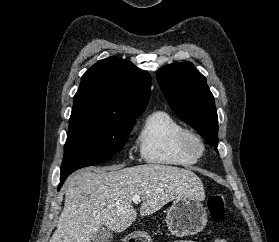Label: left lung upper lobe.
<instances>
[{
	"instance_id": "obj_1",
	"label": "left lung upper lobe",
	"mask_w": 279,
	"mask_h": 242,
	"mask_svg": "<svg viewBox=\"0 0 279 242\" xmlns=\"http://www.w3.org/2000/svg\"><path fill=\"white\" fill-rule=\"evenodd\" d=\"M157 81L174 113L217 147V112L206 78L191 62H182L159 69Z\"/></svg>"
}]
</instances>
